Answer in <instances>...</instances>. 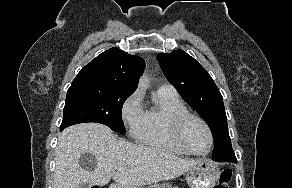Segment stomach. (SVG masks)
<instances>
[{"mask_svg":"<svg viewBox=\"0 0 292 188\" xmlns=\"http://www.w3.org/2000/svg\"><path fill=\"white\" fill-rule=\"evenodd\" d=\"M220 174L219 167L215 162L201 159L187 170L186 182L190 188H214Z\"/></svg>","mask_w":292,"mask_h":188,"instance_id":"obj_1","label":"stomach"}]
</instances>
